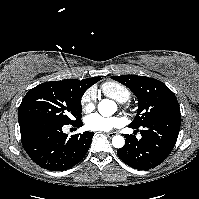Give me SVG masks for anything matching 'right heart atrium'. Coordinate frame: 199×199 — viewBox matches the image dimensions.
Masks as SVG:
<instances>
[{
	"label": "right heart atrium",
	"instance_id": "obj_1",
	"mask_svg": "<svg viewBox=\"0 0 199 199\" xmlns=\"http://www.w3.org/2000/svg\"><path fill=\"white\" fill-rule=\"evenodd\" d=\"M96 95L93 89L87 90L81 100V105L84 111H90L94 108Z\"/></svg>",
	"mask_w": 199,
	"mask_h": 199
}]
</instances>
